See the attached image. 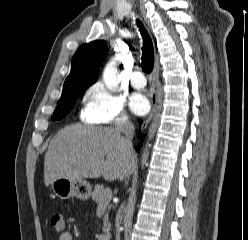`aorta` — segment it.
<instances>
[{
	"label": "aorta",
	"instance_id": "aorta-1",
	"mask_svg": "<svg viewBox=\"0 0 248 240\" xmlns=\"http://www.w3.org/2000/svg\"><path fill=\"white\" fill-rule=\"evenodd\" d=\"M103 81L109 90L113 92L117 91L119 85V77L117 73L116 59H113L106 65L103 72ZM144 160H146V156Z\"/></svg>",
	"mask_w": 248,
	"mask_h": 240
}]
</instances>
